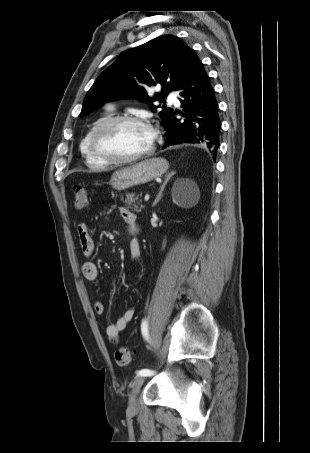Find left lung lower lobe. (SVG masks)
I'll use <instances>...</instances> for the list:
<instances>
[{"mask_svg": "<svg viewBox=\"0 0 310 453\" xmlns=\"http://www.w3.org/2000/svg\"><path fill=\"white\" fill-rule=\"evenodd\" d=\"M186 119L182 122L173 117L165 123L167 140L163 149L181 143L205 144L213 157L219 147L221 121L218 104L209 78L196 54L193 52L186 75L177 87ZM177 114V112H176Z\"/></svg>", "mask_w": 310, "mask_h": 453, "instance_id": "0a47b994", "label": "left lung lower lobe"}]
</instances>
